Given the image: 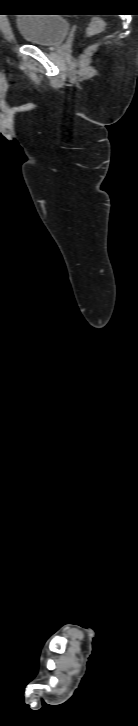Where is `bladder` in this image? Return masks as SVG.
<instances>
[{
	"label": "bladder",
	"mask_w": 138,
	"mask_h": 726,
	"mask_svg": "<svg viewBox=\"0 0 138 726\" xmlns=\"http://www.w3.org/2000/svg\"><path fill=\"white\" fill-rule=\"evenodd\" d=\"M16 21L20 35L38 46H53L66 37L69 30L67 18L59 14H23Z\"/></svg>",
	"instance_id": "31cf9c89"
}]
</instances>
